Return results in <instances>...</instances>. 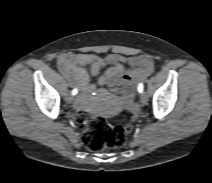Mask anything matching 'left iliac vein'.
Returning a JSON list of instances; mask_svg holds the SVG:
<instances>
[{
    "label": "left iliac vein",
    "instance_id": "obj_1",
    "mask_svg": "<svg viewBox=\"0 0 212 183\" xmlns=\"http://www.w3.org/2000/svg\"><path fill=\"white\" fill-rule=\"evenodd\" d=\"M147 101H148V95H147V93H145V92L141 93V95H140V102L142 104H146Z\"/></svg>",
    "mask_w": 212,
    "mask_h": 183
}]
</instances>
